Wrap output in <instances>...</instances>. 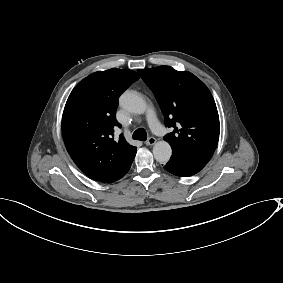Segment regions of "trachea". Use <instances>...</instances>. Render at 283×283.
Returning a JSON list of instances; mask_svg holds the SVG:
<instances>
[{
  "label": "trachea",
  "instance_id": "1",
  "mask_svg": "<svg viewBox=\"0 0 283 283\" xmlns=\"http://www.w3.org/2000/svg\"><path fill=\"white\" fill-rule=\"evenodd\" d=\"M133 139L145 141L147 139V133L144 128H139L133 133Z\"/></svg>",
  "mask_w": 283,
  "mask_h": 283
}]
</instances>
